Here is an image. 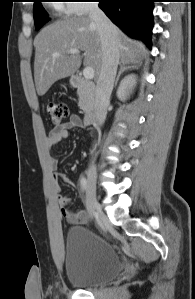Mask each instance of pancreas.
<instances>
[{
	"instance_id": "pancreas-1",
	"label": "pancreas",
	"mask_w": 195,
	"mask_h": 299,
	"mask_svg": "<svg viewBox=\"0 0 195 299\" xmlns=\"http://www.w3.org/2000/svg\"><path fill=\"white\" fill-rule=\"evenodd\" d=\"M77 94L79 96L78 106L80 109L83 111L90 109L93 103V93L86 82L81 84L77 90Z\"/></svg>"
}]
</instances>
